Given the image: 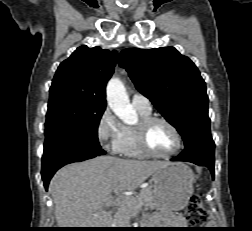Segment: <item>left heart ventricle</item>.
<instances>
[{"instance_id": "1", "label": "left heart ventricle", "mask_w": 252, "mask_h": 231, "mask_svg": "<svg viewBox=\"0 0 252 231\" xmlns=\"http://www.w3.org/2000/svg\"><path fill=\"white\" fill-rule=\"evenodd\" d=\"M148 144L158 154H168L176 145L171 129L164 123H155L148 132Z\"/></svg>"}]
</instances>
